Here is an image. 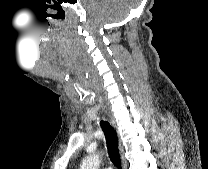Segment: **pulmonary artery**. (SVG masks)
<instances>
[{
  "label": "pulmonary artery",
  "mask_w": 208,
  "mask_h": 169,
  "mask_svg": "<svg viewBox=\"0 0 208 169\" xmlns=\"http://www.w3.org/2000/svg\"><path fill=\"white\" fill-rule=\"evenodd\" d=\"M103 169H112L111 167H105V168H103Z\"/></svg>",
  "instance_id": "pulmonary-artery-1"
}]
</instances>
